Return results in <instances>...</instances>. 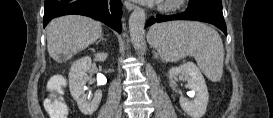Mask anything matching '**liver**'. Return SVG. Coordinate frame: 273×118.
Here are the masks:
<instances>
[{
  "instance_id": "obj_1",
  "label": "liver",
  "mask_w": 273,
  "mask_h": 118,
  "mask_svg": "<svg viewBox=\"0 0 273 118\" xmlns=\"http://www.w3.org/2000/svg\"><path fill=\"white\" fill-rule=\"evenodd\" d=\"M101 33V23L91 18L76 15L56 18L46 27L48 53L55 61L68 60L93 44Z\"/></svg>"
}]
</instances>
